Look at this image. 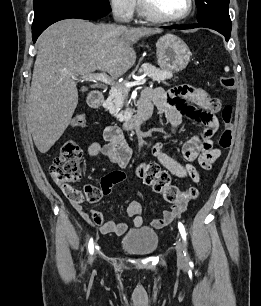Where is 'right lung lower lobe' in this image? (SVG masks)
I'll use <instances>...</instances> for the list:
<instances>
[{
    "label": "right lung lower lobe",
    "mask_w": 261,
    "mask_h": 306,
    "mask_svg": "<svg viewBox=\"0 0 261 306\" xmlns=\"http://www.w3.org/2000/svg\"><path fill=\"white\" fill-rule=\"evenodd\" d=\"M33 7L32 38L34 43L48 26L57 21L69 18L95 20L109 13L105 9L65 0H33Z\"/></svg>",
    "instance_id": "98d812e1"
}]
</instances>
